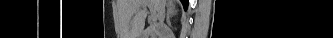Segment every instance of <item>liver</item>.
Masks as SVG:
<instances>
[{
    "instance_id": "1",
    "label": "liver",
    "mask_w": 333,
    "mask_h": 38,
    "mask_svg": "<svg viewBox=\"0 0 333 38\" xmlns=\"http://www.w3.org/2000/svg\"><path fill=\"white\" fill-rule=\"evenodd\" d=\"M124 3L121 4L120 9L121 11H128L130 10L133 5L132 1L125 0ZM168 3L172 4V0H168ZM159 4L160 0H136L134 6V34L135 36H139L144 29L145 26V18H146V9L145 7L151 6L155 11H158L159 15ZM166 4V0H165Z\"/></svg>"
}]
</instances>
